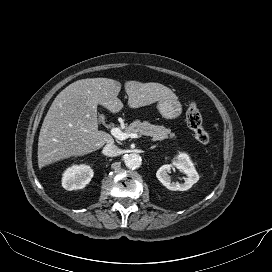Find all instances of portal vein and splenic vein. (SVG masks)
Returning a JSON list of instances; mask_svg holds the SVG:
<instances>
[{
	"mask_svg": "<svg viewBox=\"0 0 272 272\" xmlns=\"http://www.w3.org/2000/svg\"><path fill=\"white\" fill-rule=\"evenodd\" d=\"M111 134L119 139V140H125L127 138H140L141 136L138 135L137 133H126L122 132L119 128L113 127L111 128Z\"/></svg>",
	"mask_w": 272,
	"mask_h": 272,
	"instance_id": "obj_1",
	"label": "portal vein and splenic vein"
}]
</instances>
